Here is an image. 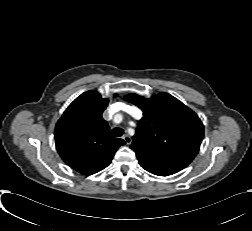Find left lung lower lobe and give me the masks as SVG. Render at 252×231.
<instances>
[{"label":"left lung lower lobe","mask_w":252,"mask_h":231,"mask_svg":"<svg viewBox=\"0 0 252 231\" xmlns=\"http://www.w3.org/2000/svg\"><path fill=\"white\" fill-rule=\"evenodd\" d=\"M140 165L148 172L158 176H168L185 168L188 164L173 160L138 159Z\"/></svg>","instance_id":"1"}]
</instances>
